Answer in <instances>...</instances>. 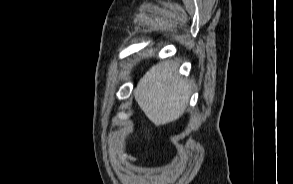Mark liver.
Segmentation results:
<instances>
[{
  "label": "liver",
  "instance_id": "6515ba94",
  "mask_svg": "<svg viewBox=\"0 0 293 184\" xmlns=\"http://www.w3.org/2000/svg\"><path fill=\"white\" fill-rule=\"evenodd\" d=\"M177 70L176 61L158 63L146 72L134 90L138 105L156 126L176 121L188 105L190 85Z\"/></svg>",
  "mask_w": 293,
  "mask_h": 184
}]
</instances>
